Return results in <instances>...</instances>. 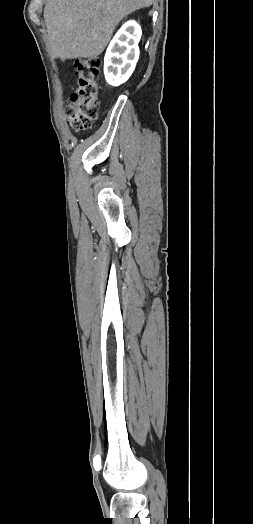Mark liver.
Instances as JSON below:
<instances>
[{
  "label": "liver",
  "instance_id": "1",
  "mask_svg": "<svg viewBox=\"0 0 253 524\" xmlns=\"http://www.w3.org/2000/svg\"><path fill=\"white\" fill-rule=\"evenodd\" d=\"M154 0H46L44 20L52 58L100 55L118 23Z\"/></svg>",
  "mask_w": 253,
  "mask_h": 524
}]
</instances>
